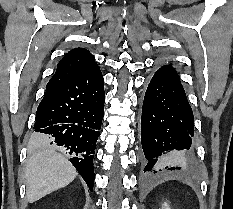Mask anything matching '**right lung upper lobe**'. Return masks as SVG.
I'll return each mask as SVG.
<instances>
[{"mask_svg":"<svg viewBox=\"0 0 233 209\" xmlns=\"http://www.w3.org/2000/svg\"><path fill=\"white\" fill-rule=\"evenodd\" d=\"M94 56L85 48L69 51L58 63L46 89L66 82L96 65Z\"/></svg>","mask_w":233,"mask_h":209,"instance_id":"1","label":"right lung upper lobe"}]
</instances>
